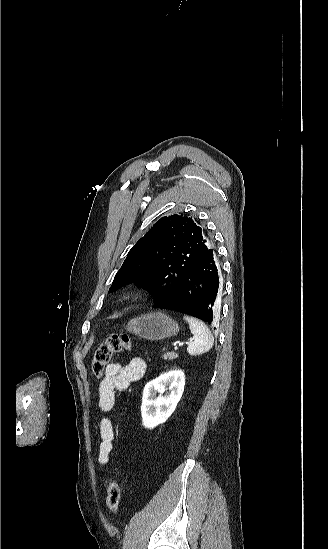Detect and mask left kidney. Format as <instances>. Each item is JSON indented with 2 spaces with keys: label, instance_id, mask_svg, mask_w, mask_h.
<instances>
[{
  "label": "left kidney",
  "instance_id": "obj_1",
  "mask_svg": "<svg viewBox=\"0 0 328 549\" xmlns=\"http://www.w3.org/2000/svg\"><path fill=\"white\" fill-rule=\"evenodd\" d=\"M185 387L183 371H168L144 387L141 415L144 427L153 429L155 425L165 423L174 413ZM156 393H160L156 397ZM166 393V395H163Z\"/></svg>",
  "mask_w": 328,
  "mask_h": 549
}]
</instances>
